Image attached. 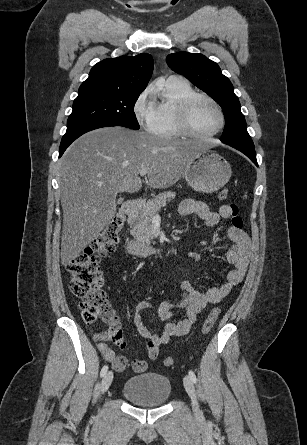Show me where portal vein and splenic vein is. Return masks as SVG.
<instances>
[{"label": "portal vein and splenic vein", "mask_w": 307, "mask_h": 445, "mask_svg": "<svg viewBox=\"0 0 307 445\" xmlns=\"http://www.w3.org/2000/svg\"><path fill=\"white\" fill-rule=\"evenodd\" d=\"M148 168H143V170H140L139 174L140 176H144V174H147ZM156 216H159V214H156Z\"/></svg>", "instance_id": "obj_1"}]
</instances>
